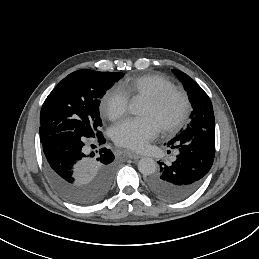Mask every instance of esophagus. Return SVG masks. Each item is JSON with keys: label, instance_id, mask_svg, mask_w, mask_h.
<instances>
[{"label": "esophagus", "instance_id": "obj_1", "mask_svg": "<svg viewBox=\"0 0 259 259\" xmlns=\"http://www.w3.org/2000/svg\"><path fill=\"white\" fill-rule=\"evenodd\" d=\"M126 155L130 159H139V158H141V156L139 154H136L135 152H132V151H127Z\"/></svg>", "mask_w": 259, "mask_h": 259}]
</instances>
